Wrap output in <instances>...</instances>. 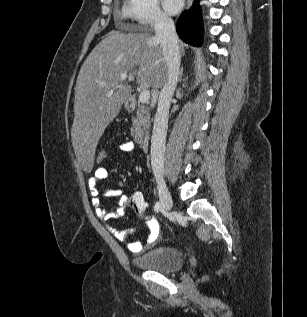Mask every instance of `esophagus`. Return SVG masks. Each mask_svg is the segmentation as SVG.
<instances>
[{
    "mask_svg": "<svg viewBox=\"0 0 307 317\" xmlns=\"http://www.w3.org/2000/svg\"><path fill=\"white\" fill-rule=\"evenodd\" d=\"M187 3H188V6L190 5V3H191V0H187Z\"/></svg>",
    "mask_w": 307,
    "mask_h": 317,
    "instance_id": "obj_1",
    "label": "esophagus"
}]
</instances>
